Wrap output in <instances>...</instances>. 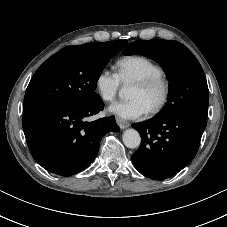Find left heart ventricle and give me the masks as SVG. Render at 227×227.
I'll return each instance as SVG.
<instances>
[{"instance_id": "left-heart-ventricle-1", "label": "left heart ventricle", "mask_w": 227, "mask_h": 227, "mask_svg": "<svg viewBox=\"0 0 227 227\" xmlns=\"http://www.w3.org/2000/svg\"><path fill=\"white\" fill-rule=\"evenodd\" d=\"M160 96V87H155L150 90H144L134 84L130 92V98L140 99L145 104L148 110L158 102Z\"/></svg>"}]
</instances>
